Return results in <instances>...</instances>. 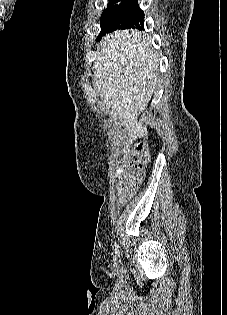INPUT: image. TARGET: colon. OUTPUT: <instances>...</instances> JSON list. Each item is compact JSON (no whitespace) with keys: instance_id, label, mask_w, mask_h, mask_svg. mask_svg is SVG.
Instances as JSON below:
<instances>
[{"instance_id":"obj_1","label":"colon","mask_w":227,"mask_h":315,"mask_svg":"<svg viewBox=\"0 0 227 315\" xmlns=\"http://www.w3.org/2000/svg\"><path fill=\"white\" fill-rule=\"evenodd\" d=\"M150 160L148 148L139 144L130 152L128 166L119 170V175L129 185L137 188L144 178V169Z\"/></svg>"}]
</instances>
